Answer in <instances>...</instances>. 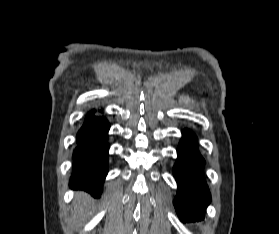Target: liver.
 <instances>
[{
  "mask_svg": "<svg viewBox=\"0 0 279 234\" xmlns=\"http://www.w3.org/2000/svg\"><path fill=\"white\" fill-rule=\"evenodd\" d=\"M91 209L90 197L86 193H77L74 205L71 210V226L77 227L80 222L91 213Z\"/></svg>",
  "mask_w": 279,
  "mask_h": 234,
  "instance_id": "1",
  "label": "liver"
}]
</instances>
